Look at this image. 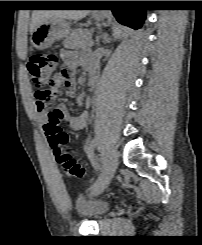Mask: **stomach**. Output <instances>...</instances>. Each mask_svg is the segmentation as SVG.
I'll use <instances>...</instances> for the list:
<instances>
[{
    "label": "stomach",
    "instance_id": "0dacf381",
    "mask_svg": "<svg viewBox=\"0 0 202 245\" xmlns=\"http://www.w3.org/2000/svg\"><path fill=\"white\" fill-rule=\"evenodd\" d=\"M96 20L103 18V13H93ZM71 23L62 18L44 20L32 33L30 42L37 50L49 48L56 40L66 38L70 31Z\"/></svg>",
    "mask_w": 202,
    "mask_h": 245
}]
</instances>
